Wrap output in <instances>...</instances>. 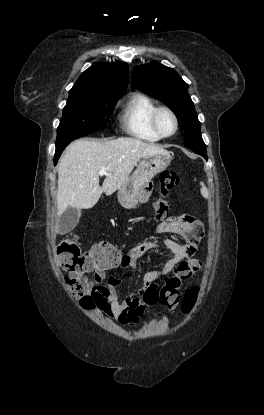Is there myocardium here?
<instances>
[{
  "label": "myocardium",
  "instance_id": "obj_1",
  "mask_svg": "<svg viewBox=\"0 0 264 415\" xmlns=\"http://www.w3.org/2000/svg\"><path fill=\"white\" fill-rule=\"evenodd\" d=\"M163 111L169 113L171 115V117L173 118V121H174L175 127H174L173 132L170 133V134H163L160 131L159 126H158V116ZM150 124H151V127H152L153 131L160 138H169V137L174 136L177 133L178 128H179V121H178V117H177L176 113L171 108H169L167 106H159V107H156L153 110V112L151 113V116H150Z\"/></svg>",
  "mask_w": 264,
  "mask_h": 415
}]
</instances>
